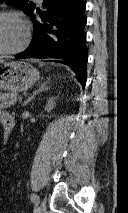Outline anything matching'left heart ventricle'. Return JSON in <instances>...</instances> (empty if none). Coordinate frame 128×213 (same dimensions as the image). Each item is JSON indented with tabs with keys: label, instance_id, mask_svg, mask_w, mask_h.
<instances>
[{
	"label": "left heart ventricle",
	"instance_id": "obj_1",
	"mask_svg": "<svg viewBox=\"0 0 128 213\" xmlns=\"http://www.w3.org/2000/svg\"><path fill=\"white\" fill-rule=\"evenodd\" d=\"M24 27L15 17H0V50L13 49L21 44Z\"/></svg>",
	"mask_w": 128,
	"mask_h": 213
}]
</instances>
